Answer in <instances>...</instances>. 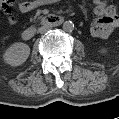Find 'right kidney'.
Returning a JSON list of instances; mask_svg holds the SVG:
<instances>
[{"mask_svg": "<svg viewBox=\"0 0 119 119\" xmlns=\"http://www.w3.org/2000/svg\"><path fill=\"white\" fill-rule=\"evenodd\" d=\"M30 54V47L21 42L12 44L4 53V60L11 66L23 64Z\"/></svg>", "mask_w": 119, "mask_h": 119, "instance_id": "right-kidney-1", "label": "right kidney"}]
</instances>
